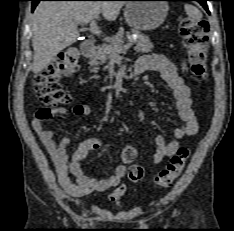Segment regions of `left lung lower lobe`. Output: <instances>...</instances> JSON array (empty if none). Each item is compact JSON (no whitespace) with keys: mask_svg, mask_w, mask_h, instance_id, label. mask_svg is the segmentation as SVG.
I'll use <instances>...</instances> for the list:
<instances>
[{"mask_svg":"<svg viewBox=\"0 0 234 231\" xmlns=\"http://www.w3.org/2000/svg\"><path fill=\"white\" fill-rule=\"evenodd\" d=\"M168 1H198L204 7V9L210 14L206 3L209 0H168Z\"/></svg>","mask_w":234,"mask_h":231,"instance_id":"0a47b994","label":"left lung lower lobe"}]
</instances>
